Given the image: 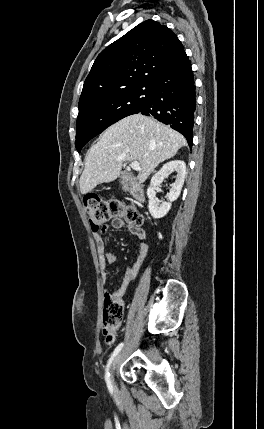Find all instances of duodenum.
Segmentation results:
<instances>
[{"instance_id": "1", "label": "duodenum", "mask_w": 264, "mask_h": 429, "mask_svg": "<svg viewBox=\"0 0 264 429\" xmlns=\"http://www.w3.org/2000/svg\"><path fill=\"white\" fill-rule=\"evenodd\" d=\"M130 192L138 204H142L145 200V195L142 187L137 183H130Z\"/></svg>"}]
</instances>
